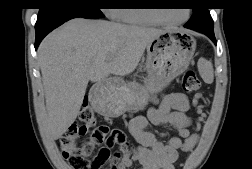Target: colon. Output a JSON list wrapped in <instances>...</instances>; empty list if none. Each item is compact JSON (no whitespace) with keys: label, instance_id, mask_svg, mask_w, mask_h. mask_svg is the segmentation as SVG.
Segmentation results:
<instances>
[{"label":"colon","instance_id":"1","mask_svg":"<svg viewBox=\"0 0 252 169\" xmlns=\"http://www.w3.org/2000/svg\"><path fill=\"white\" fill-rule=\"evenodd\" d=\"M182 87L188 93L201 89V82L193 70L184 72ZM79 119L81 124L70 126L60 140L63 156L73 169H114L117 157L112 154L110 147L119 145L124 151L132 150L121 130L101 125L94 130L93 136L105 142L106 146L94 153V146L90 142H80V138L96 123L94 111L87 104L83 105Z\"/></svg>","mask_w":252,"mask_h":169}]
</instances>
